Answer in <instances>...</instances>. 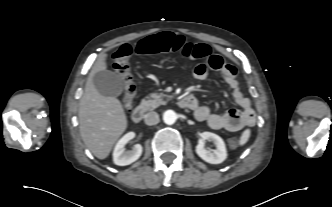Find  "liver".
Here are the masks:
<instances>
[{
	"label": "liver",
	"mask_w": 332,
	"mask_h": 207,
	"mask_svg": "<svg viewBox=\"0 0 332 207\" xmlns=\"http://www.w3.org/2000/svg\"><path fill=\"white\" fill-rule=\"evenodd\" d=\"M107 56L102 54L95 62L79 103L81 138L98 159L109 155L128 124L121 102L113 96L101 95L93 83L94 74L106 70Z\"/></svg>",
	"instance_id": "obj_1"
}]
</instances>
